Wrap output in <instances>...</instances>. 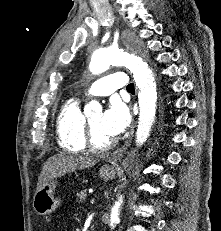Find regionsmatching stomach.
<instances>
[{
  "label": "stomach",
  "mask_w": 221,
  "mask_h": 231,
  "mask_svg": "<svg viewBox=\"0 0 221 231\" xmlns=\"http://www.w3.org/2000/svg\"><path fill=\"white\" fill-rule=\"evenodd\" d=\"M99 175L104 180H112L116 170L107 164L100 168ZM56 185V181L50 180L35 192L32 205L38 215L50 214L60 205V200L55 197Z\"/></svg>",
  "instance_id": "stomach-1"
}]
</instances>
